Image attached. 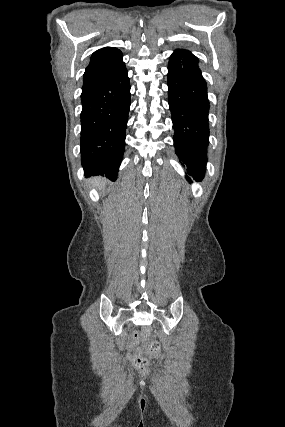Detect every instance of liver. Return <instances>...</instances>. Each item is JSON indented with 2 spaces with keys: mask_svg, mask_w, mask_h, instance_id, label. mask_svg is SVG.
Wrapping results in <instances>:
<instances>
[{
  "mask_svg": "<svg viewBox=\"0 0 285 427\" xmlns=\"http://www.w3.org/2000/svg\"><path fill=\"white\" fill-rule=\"evenodd\" d=\"M92 181L99 186L100 184H104L105 180L103 178H93Z\"/></svg>",
  "mask_w": 285,
  "mask_h": 427,
  "instance_id": "1",
  "label": "liver"
}]
</instances>
